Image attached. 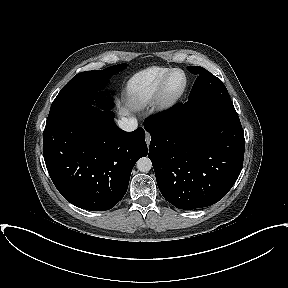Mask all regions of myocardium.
Listing matches in <instances>:
<instances>
[{"label": "myocardium", "mask_w": 288, "mask_h": 288, "mask_svg": "<svg viewBox=\"0 0 288 288\" xmlns=\"http://www.w3.org/2000/svg\"><path fill=\"white\" fill-rule=\"evenodd\" d=\"M180 73L183 77L181 86L176 90H171L170 82L172 77ZM187 87V76L181 69H172L163 79L157 92V106L160 110H166L175 105L182 97Z\"/></svg>", "instance_id": "myocardium-1"}]
</instances>
